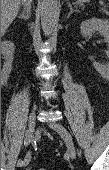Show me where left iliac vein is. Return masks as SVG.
Wrapping results in <instances>:
<instances>
[{
    "instance_id": "1",
    "label": "left iliac vein",
    "mask_w": 109,
    "mask_h": 170,
    "mask_svg": "<svg viewBox=\"0 0 109 170\" xmlns=\"http://www.w3.org/2000/svg\"><path fill=\"white\" fill-rule=\"evenodd\" d=\"M49 126L55 131H57L60 134V136L63 138L67 146L68 155L72 160H74L76 158L77 153L71 134L66 130L65 127H63L61 124L57 122H50Z\"/></svg>"
}]
</instances>
